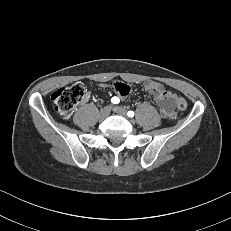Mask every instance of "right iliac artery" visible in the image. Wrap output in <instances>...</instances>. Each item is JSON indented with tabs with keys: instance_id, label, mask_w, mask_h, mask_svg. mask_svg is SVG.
Wrapping results in <instances>:
<instances>
[{
	"instance_id": "82829eb1",
	"label": "right iliac artery",
	"mask_w": 231,
	"mask_h": 231,
	"mask_svg": "<svg viewBox=\"0 0 231 231\" xmlns=\"http://www.w3.org/2000/svg\"><path fill=\"white\" fill-rule=\"evenodd\" d=\"M119 98L118 97H113L112 99H111V102L113 103V104H118L119 103Z\"/></svg>"
}]
</instances>
